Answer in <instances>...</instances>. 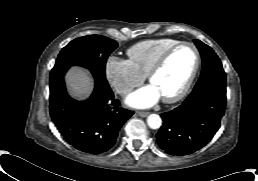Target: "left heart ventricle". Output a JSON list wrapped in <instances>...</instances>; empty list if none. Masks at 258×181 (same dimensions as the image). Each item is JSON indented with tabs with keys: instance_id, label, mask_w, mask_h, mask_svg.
Returning <instances> with one entry per match:
<instances>
[{
	"instance_id": "left-heart-ventricle-1",
	"label": "left heart ventricle",
	"mask_w": 258,
	"mask_h": 181,
	"mask_svg": "<svg viewBox=\"0 0 258 181\" xmlns=\"http://www.w3.org/2000/svg\"><path fill=\"white\" fill-rule=\"evenodd\" d=\"M195 59V52L189 46H183L172 54L151 83L161 97L174 96L184 87L194 68Z\"/></svg>"
}]
</instances>
